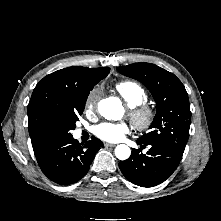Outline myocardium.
<instances>
[{
  "mask_svg": "<svg viewBox=\"0 0 221 221\" xmlns=\"http://www.w3.org/2000/svg\"><path fill=\"white\" fill-rule=\"evenodd\" d=\"M130 116L134 126L140 131H145L153 125L156 113L149 105L141 104L131 109Z\"/></svg>",
  "mask_w": 221,
  "mask_h": 221,
  "instance_id": "myocardium-1",
  "label": "myocardium"
}]
</instances>
